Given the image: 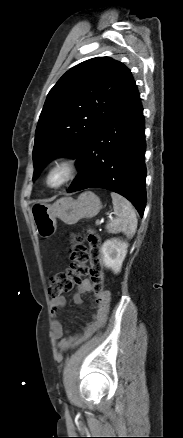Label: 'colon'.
Returning <instances> with one entry per match:
<instances>
[{
    "mask_svg": "<svg viewBox=\"0 0 183 438\" xmlns=\"http://www.w3.org/2000/svg\"><path fill=\"white\" fill-rule=\"evenodd\" d=\"M85 240L88 246L85 245ZM71 264L67 272L51 277L48 288L52 298L69 292L75 283L84 276H89L95 294L103 290V270L100 260V238L92 230L86 231V237L74 235L69 249ZM88 262L90 265L88 266Z\"/></svg>",
    "mask_w": 183,
    "mask_h": 438,
    "instance_id": "obj_1",
    "label": "colon"
}]
</instances>
